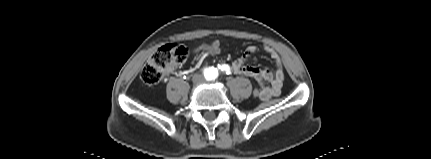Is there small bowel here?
Instances as JSON below:
<instances>
[{"label":"small bowel","mask_w":431,"mask_h":159,"mask_svg":"<svg viewBox=\"0 0 431 159\" xmlns=\"http://www.w3.org/2000/svg\"><path fill=\"white\" fill-rule=\"evenodd\" d=\"M210 48L221 49L220 41L214 40L210 43L202 44L194 49V52L206 53V50ZM264 50L275 62L277 66L275 71L269 69H259L257 67L248 65L249 59H251L257 52V47L255 46H248L244 50L241 57L233 61V63L229 66V69L230 72H233L234 74L255 79L259 84L258 88L261 90L260 95L256 97L261 100H269L270 98L278 96L281 93L284 82V71L278 53L269 45H264ZM265 83H267V85Z\"/></svg>","instance_id":"1"}]
</instances>
